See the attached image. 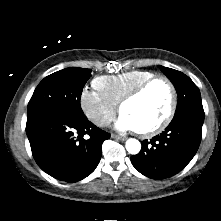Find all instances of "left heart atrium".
Here are the masks:
<instances>
[{"label":"left heart atrium","mask_w":221,"mask_h":221,"mask_svg":"<svg viewBox=\"0 0 221 221\" xmlns=\"http://www.w3.org/2000/svg\"><path fill=\"white\" fill-rule=\"evenodd\" d=\"M116 127L121 131H136L137 127L134 121L126 114L121 113L117 123Z\"/></svg>","instance_id":"left-heart-atrium-1"}]
</instances>
